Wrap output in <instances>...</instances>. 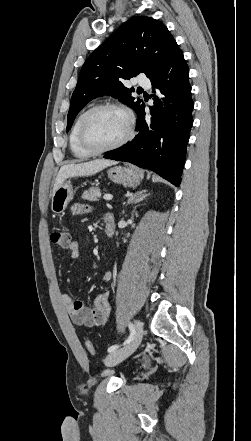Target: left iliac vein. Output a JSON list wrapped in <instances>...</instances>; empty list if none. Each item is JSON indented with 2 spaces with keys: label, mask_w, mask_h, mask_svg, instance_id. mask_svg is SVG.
<instances>
[{
  "label": "left iliac vein",
  "mask_w": 251,
  "mask_h": 441,
  "mask_svg": "<svg viewBox=\"0 0 251 441\" xmlns=\"http://www.w3.org/2000/svg\"><path fill=\"white\" fill-rule=\"evenodd\" d=\"M134 328H135V334L133 340L130 343H128L126 346L109 353L104 359V363L106 366L113 367L119 364L127 357H129L132 353H134L135 350L138 348L144 334L143 325L140 322V320L138 319L135 320Z\"/></svg>",
  "instance_id": "obj_1"
}]
</instances>
